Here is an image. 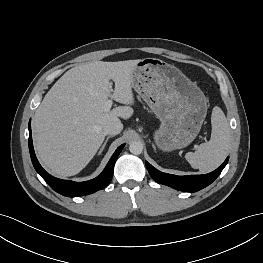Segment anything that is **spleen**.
Returning <instances> with one entry per match:
<instances>
[{"label": "spleen", "instance_id": "1", "mask_svg": "<svg viewBox=\"0 0 263 263\" xmlns=\"http://www.w3.org/2000/svg\"><path fill=\"white\" fill-rule=\"evenodd\" d=\"M211 139L185 155L190 165L201 173L216 169L225 160L230 146V127L224 112L215 106L211 116Z\"/></svg>", "mask_w": 263, "mask_h": 263}]
</instances>
